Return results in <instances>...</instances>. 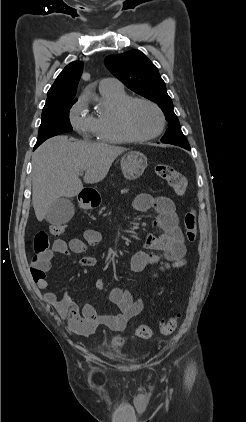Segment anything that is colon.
<instances>
[{
	"label": "colon",
	"instance_id": "5ec220e1",
	"mask_svg": "<svg viewBox=\"0 0 246 422\" xmlns=\"http://www.w3.org/2000/svg\"><path fill=\"white\" fill-rule=\"evenodd\" d=\"M155 173L158 177L168 183V185L175 191L177 195L184 194L187 181L186 178L175 168L168 164H157L155 166ZM183 225L185 235L189 242H194L197 237V219L196 211L192 208L188 209L183 217ZM65 231V227L59 224H53L49 227L48 232L40 231L34 237V257L30 272L34 280L40 279L44 276V271L39 267L42 257L49 251V234L52 236H60ZM184 261H176L172 263L175 268L182 267ZM177 317H170L161 320L159 323V332L164 335L171 334L177 327ZM136 335L141 339H150L153 336V330L148 325H140L136 329Z\"/></svg>",
	"mask_w": 246,
	"mask_h": 422
}]
</instances>
